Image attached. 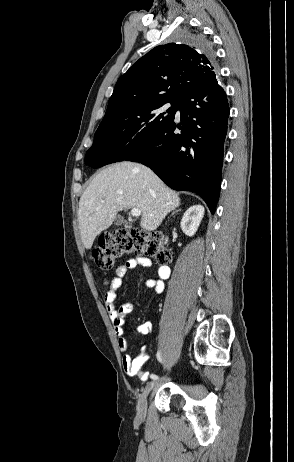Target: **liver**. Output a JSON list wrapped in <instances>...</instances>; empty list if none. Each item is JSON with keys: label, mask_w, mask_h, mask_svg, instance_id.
<instances>
[{"label": "liver", "mask_w": 294, "mask_h": 462, "mask_svg": "<svg viewBox=\"0 0 294 462\" xmlns=\"http://www.w3.org/2000/svg\"><path fill=\"white\" fill-rule=\"evenodd\" d=\"M180 206L178 193L149 168L119 162L101 170L79 201L78 221L83 245L91 249L97 235L128 207L141 210V228L157 229L165 216Z\"/></svg>", "instance_id": "obj_1"}]
</instances>
